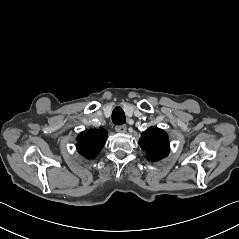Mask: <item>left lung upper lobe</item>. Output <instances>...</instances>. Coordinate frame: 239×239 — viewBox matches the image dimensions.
Wrapping results in <instances>:
<instances>
[{
    "label": "left lung upper lobe",
    "mask_w": 239,
    "mask_h": 239,
    "mask_svg": "<svg viewBox=\"0 0 239 239\" xmlns=\"http://www.w3.org/2000/svg\"><path fill=\"white\" fill-rule=\"evenodd\" d=\"M139 145L149 161H159L169 154L168 135L162 129L150 127L141 134Z\"/></svg>",
    "instance_id": "obj_1"
}]
</instances>
